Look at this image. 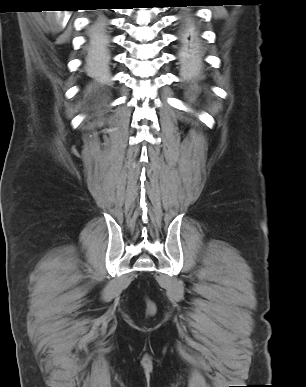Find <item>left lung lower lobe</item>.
Listing matches in <instances>:
<instances>
[{"instance_id": "1", "label": "left lung lower lobe", "mask_w": 306, "mask_h": 387, "mask_svg": "<svg viewBox=\"0 0 306 387\" xmlns=\"http://www.w3.org/2000/svg\"><path fill=\"white\" fill-rule=\"evenodd\" d=\"M178 4H186V7L189 5H197L194 3L198 2H189L193 4H188L185 0H178ZM179 43L181 46L180 58L184 63H194L200 57V39L192 25V18L189 15H186L182 20V28L179 36Z\"/></svg>"}]
</instances>
